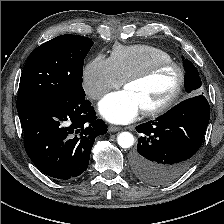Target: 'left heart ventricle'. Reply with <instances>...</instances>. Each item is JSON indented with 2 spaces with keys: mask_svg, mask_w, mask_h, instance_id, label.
<instances>
[{
  "mask_svg": "<svg viewBox=\"0 0 224 224\" xmlns=\"http://www.w3.org/2000/svg\"><path fill=\"white\" fill-rule=\"evenodd\" d=\"M176 83V71L167 68L145 81L131 83L125 89L137 98L141 109L144 110L163 103L173 92Z\"/></svg>",
  "mask_w": 224,
  "mask_h": 224,
  "instance_id": "1",
  "label": "left heart ventricle"
}]
</instances>
